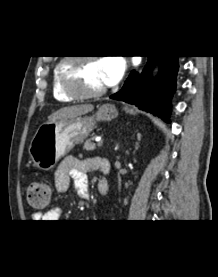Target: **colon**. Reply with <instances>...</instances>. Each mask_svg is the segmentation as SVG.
Masks as SVG:
<instances>
[{"instance_id": "obj_1", "label": "colon", "mask_w": 218, "mask_h": 277, "mask_svg": "<svg viewBox=\"0 0 218 277\" xmlns=\"http://www.w3.org/2000/svg\"><path fill=\"white\" fill-rule=\"evenodd\" d=\"M26 192L30 207L41 210L49 205L52 192L48 184L41 181H32L28 184Z\"/></svg>"}]
</instances>
